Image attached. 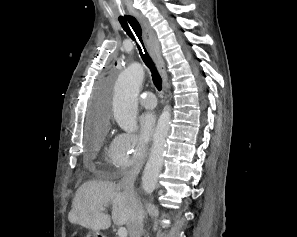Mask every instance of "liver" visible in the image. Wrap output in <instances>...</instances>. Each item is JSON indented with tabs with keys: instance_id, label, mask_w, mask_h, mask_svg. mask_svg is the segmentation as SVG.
Here are the masks:
<instances>
[{
	"instance_id": "liver-1",
	"label": "liver",
	"mask_w": 297,
	"mask_h": 237,
	"mask_svg": "<svg viewBox=\"0 0 297 237\" xmlns=\"http://www.w3.org/2000/svg\"><path fill=\"white\" fill-rule=\"evenodd\" d=\"M112 205V220L122 226L129 220V203L122 189L112 182L88 181L78 188L68 219L92 231L99 232L111 226V217L101 208Z\"/></svg>"
}]
</instances>
